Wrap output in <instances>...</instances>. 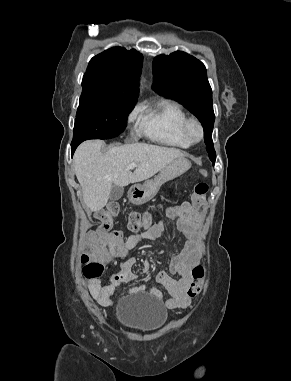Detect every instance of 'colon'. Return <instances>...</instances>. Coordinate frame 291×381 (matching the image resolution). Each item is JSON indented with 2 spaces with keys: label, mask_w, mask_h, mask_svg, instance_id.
I'll return each instance as SVG.
<instances>
[{
  "label": "colon",
  "mask_w": 291,
  "mask_h": 381,
  "mask_svg": "<svg viewBox=\"0 0 291 381\" xmlns=\"http://www.w3.org/2000/svg\"><path fill=\"white\" fill-rule=\"evenodd\" d=\"M208 192V185L205 182H198L194 188L193 202L196 206H200L205 202ZM119 214V206L116 203H111L97 214L99 221L98 232L106 234L114 225ZM151 224L149 215L141 216L133 214L128 221V228L131 231H138L141 228H147ZM106 246L99 241L94 248L86 249L82 256L84 263V272L88 278L100 277L106 265ZM194 281L190 284L187 295L190 299L198 296L202 290V283L205 277V269L202 265H196L192 270Z\"/></svg>",
  "instance_id": "5ec220e1"
}]
</instances>
